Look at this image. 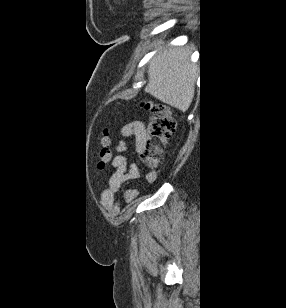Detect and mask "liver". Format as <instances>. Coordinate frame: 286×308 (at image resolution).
<instances>
[{
	"mask_svg": "<svg viewBox=\"0 0 286 308\" xmlns=\"http://www.w3.org/2000/svg\"><path fill=\"white\" fill-rule=\"evenodd\" d=\"M164 43L160 42L157 48ZM184 48L160 51L149 63L148 84L144 91L163 103L186 111L195 94L196 67Z\"/></svg>",
	"mask_w": 286,
	"mask_h": 308,
	"instance_id": "obj_1",
	"label": "liver"
}]
</instances>
